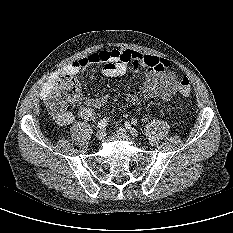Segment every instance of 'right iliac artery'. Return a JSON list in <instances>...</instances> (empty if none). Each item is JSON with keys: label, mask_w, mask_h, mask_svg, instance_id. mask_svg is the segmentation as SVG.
I'll return each mask as SVG.
<instances>
[{"label": "right iliac artery", "mask_w": 233, "mask_h": 233, "mask_svg": "<svg viewBox=\"0 0 233 233\" xmlns=\"http://www.w3.org/2000/svg\"><path fill=\"white\" fill-rule=\"evenodd\" d=\"M108 124V119L107 118H103L101 119L99 122H98V125L97 127L102 129V128H105Z\"/></svg>", "instance_id": "right-iliac-artery-1"}]
</instances>
